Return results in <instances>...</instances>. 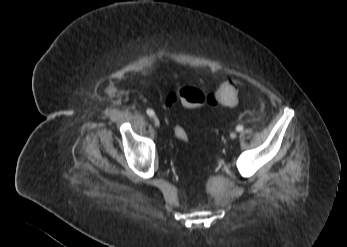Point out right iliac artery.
I'll return each mask as SVG.
<instances>
[{
	"label": "right iliac artery",
	"instance_id": "obj_1",
	"mask_svg": "<svg viewBox=\"0 0 347 247\" xmlns=\"http://www.w3.org/2000/svg\"><path fill=\"white\" fill-rule=\"evenodd\" d=\"M147 114H148L149 116H154V115H155L154 111L151 110V109H147Z\"/></svg>",
	"mask_w": 347,
	"mask_h": 247
}]
</instances>
